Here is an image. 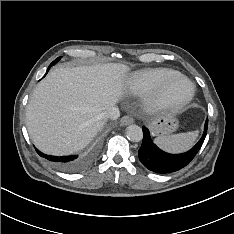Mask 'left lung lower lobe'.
I'll return each mask as SVG.
<instances>
[{
    "label": "left lung lower lobe",
    "mask_w": 234,
    "mask_h": 234,
    "mask_svg": "<svg viewBox=\"0 0 234 234\" xmlns=\"http://www.w3.org/2000/svg\"><path fill=\"white\" fill-rule=\"evenodd\" d=\"M208 119L204 126V133L199 142L189 151L182 154H169L159 149L151 140L149 130L143 127V141L138 151L141 163L150 171L156 173H171L188 165L200 150L207 133Z\"/></svg>",
    "instance_id": "1"
}]
</instances>
